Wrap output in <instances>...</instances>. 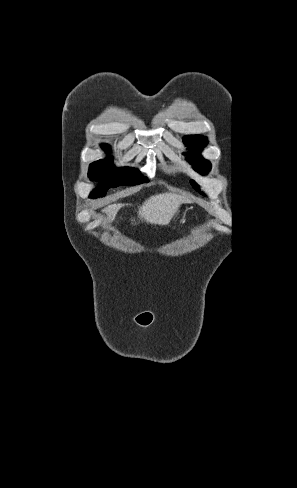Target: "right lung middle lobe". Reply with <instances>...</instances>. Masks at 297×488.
I'll return each instance as SVG.
<instances>
[{
    "label": "right lung middle lobe",
    "mask_w": 297,
    "mask_h": 488,
    "mask_svg": "<svg viewBox=\"0 0 297 488\" xmlns=\"http://www.w3.org/2000/svg\"><path fill=\"white\" fill-rule=\"evenodd\" d=\"M88 176L92 180H102V183L91 193L92 197L105 196L109 188L120 185L132 186L149 181L139 170H135L134 168H114L110 156L104 160H98L90 164Z\"/></svg>",
    "instance_id": "dd1d6c3e"
}]
</instances>
